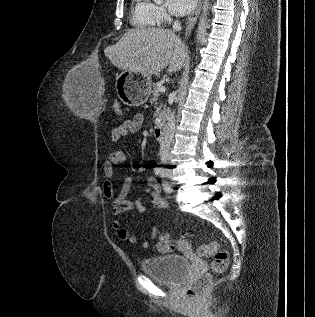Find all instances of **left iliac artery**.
<instances>
[{"label":"left iliac artery","mask_w":315,"mask_h":317,"mask_svg":"<svg viewBox=\"0 0 315 317\" xmlns=\"http://www.w3.org/2000/svg\"><path fill=\"white\" fill-rule=\"evenodd\" d=\"M164 189H165V191L168 189L167 185H164Z\"/></svg>","instance_id":"left-iliac-artery-1"}]
</instances>
